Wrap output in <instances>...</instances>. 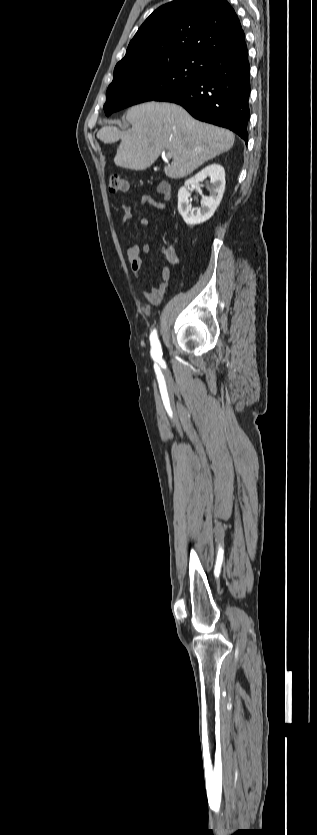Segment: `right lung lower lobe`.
<instances>
[{
  "label": "right lung lower lobe",
  "mask_w": 317,
  "mask_h": 835,
  "mask_svg": "<svg viewBox=\"0 0 317 835\" xmlns=\"http://www.w3.org/2000/svg\"><path fill=\"white\" fill-rule=\"evenodd\" d=\"M197 79L155 99L183 106L194 118L237 133L248 142L250 67L245 35L199 57Z\"/></svg>",
  "instance_id": "98d812e1"
}]
</instances>
